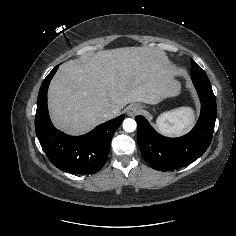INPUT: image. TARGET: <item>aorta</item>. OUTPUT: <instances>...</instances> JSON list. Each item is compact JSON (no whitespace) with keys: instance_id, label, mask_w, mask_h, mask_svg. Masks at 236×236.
Wrapping results in <instances>:
<instances>
[{"instance_id":"1","label":"aorta","mask_w":236,"mask_h":236,"mask_svg":"<svg viewBox=\"0 0 236 236\" xmlns=\"http://www.w3.org/2000/svg\"><path fill=\"white\" fill-rule=\"evenodd\" d=\"M137 124L136 121L132 118H127L123 121V129L126 132H133L136 130Z\"/></svg>"}]
</instances>
